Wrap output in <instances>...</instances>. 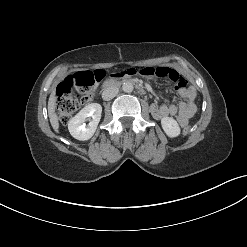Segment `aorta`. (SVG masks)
Here are the masks:
<instances>
[{
    "label": "aorta",
    "instance_id": "aorta-1",
    "mask_svg": "<svg viewBox=\"0 0 247 247\" xmlns=\"http://www.w3.org/2000/svg\"><path fill=\"white\" fill-rule=\"evenodd\" d=\"M122 89L124 92L126 93H130L133 91L134 89V86L131 82H124L123 85H122Z\"/></svg>",
    "mask_w": 247,
    "mask_h": 247
}]
</instances>
